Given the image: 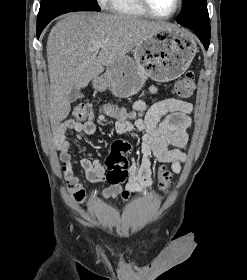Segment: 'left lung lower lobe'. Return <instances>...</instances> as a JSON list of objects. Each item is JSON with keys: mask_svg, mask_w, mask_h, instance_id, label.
Segmentation results:
<instances>
[{"mask_svg": "<svg viewBox=\"0 0 247 280\" xmlns=\"http://www.w3.org/2000/svg\"><path fill=\"white\" fill-rule=\"evenodd\" d=\"M178 24H180V23H178ZM189 29H191L198 36L200 41L203 43L205 49L207 50L209 47V42H210V33H205L200 30H197L195 28H189Z\"/></svg>", "mask_w": 247, "mask_h": 280, "instance_id": "left-lung-lower-lobe-1", "label": "left lung lower lobe"}]
</instances>
